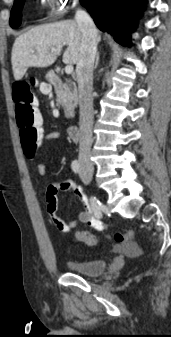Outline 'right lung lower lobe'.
I'll return each mask as SVG.
<instances>
[{
    "label": "right lung lower lobe",
    "mask_w": 171,
    "mask_h": 337,
    "mask_svg": "<svg viewBox=\"0 0 171 337\" xmlns=\"http://www.w3.org/2000/svg\"><path fill=\"white\" fill-rule=\"evenodd\" d=\"M87 8L100 30L111 34L122 44L130 43V33L135 27L147 0H80Z\"/></svg>",
    "instance_id": "98d812e1"
}]
</instances>
